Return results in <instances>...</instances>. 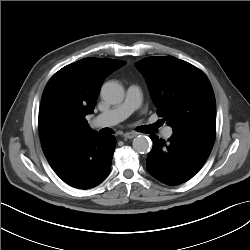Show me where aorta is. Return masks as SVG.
Returning a JSON list of instances; mask_svg holds the SVG:
<instances>
[{
	"mask_svg": "<svg viewBox=\"0 0 250 250\" xmlns=\"http://www.w3.org/2000/svg\"><path fill=\"white\" fill-rule=\"evenodd\" d=\"M101 96L109 104H119L124 99V89L117 82H106L101 88ZM132 144L138 153H146L151 147L150 139L143 135L134 138Z\"/></svg>",
	"mask_w": 250,
	"mask_h": 250,
	"instance_id": "aorta-1",
	"label": "aorta"
}]
</instances>
